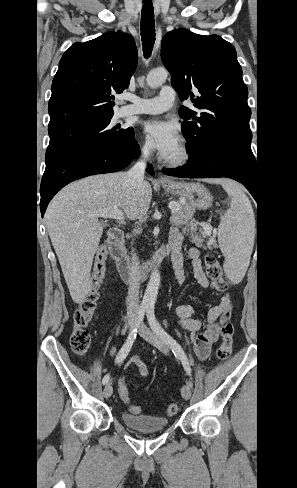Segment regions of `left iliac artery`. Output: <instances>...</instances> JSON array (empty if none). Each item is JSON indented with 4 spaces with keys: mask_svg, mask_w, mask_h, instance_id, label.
<instances>
[{
    "mask_svg": "<svg viewBox=\"0 0 297 488\" xmlns=\"http://www.w3.org/2000/svg\"><path fill=\"white\" fill-rule=\"evenodd\" d=\"M147 319L151 329L171 348L174 355L181 360L182 365L188 375H191V368L185 352L183 351L180 344L174 338H172L159 324L154 314V307L152 306L147 308Z\"/></svg>",
    "mask_w": 297,
    "mask_h": 488,
    "instance_id": "44dca946",
    "label": "left iliac artery"
}]
</instances>
